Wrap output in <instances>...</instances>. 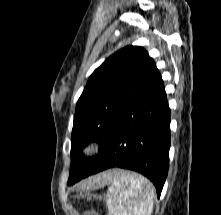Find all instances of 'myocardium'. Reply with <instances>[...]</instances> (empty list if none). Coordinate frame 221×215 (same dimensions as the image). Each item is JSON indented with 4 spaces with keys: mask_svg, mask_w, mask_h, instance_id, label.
<instances>
[{
    "mask_svg": "<svg viewBox=\"0 0 221 215\" xmlns=\"http://www.w3.org/2000/svg\"><path fill=\"white\" fill-rule=\"evenodd\" d=\"M96 148H97L96 144L95 143H91V144H89L88 146H86L84 148L83 154L85 156H91V155H93L95 153Z\"/></svg>",
    "mask_w": 221,
    "mask_h": 215,
    "instance_id": "obj_1",
    "label": "myocardium"
}]
</instances>
